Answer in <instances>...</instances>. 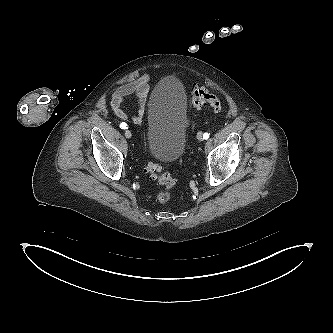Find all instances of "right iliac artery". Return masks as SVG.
Segmentation results:
<instances>
[{"label": "right iliac artery", "mask_w": 333, "mask_h": 333, "mask_svg": "<svg viewBox=\"0 0 333 333\" xmlns=\"http://www.w3.org/2000/svg\"><path fill=\"white\" fill-rule=\"evenodd\" d=\"M128 125L126 124V123H124V122H122L121 124H120V128L121 129H127L128 127H127Z\"/></svg>", "instance_id": "right-iliac-artery-1"}]
</instances>
